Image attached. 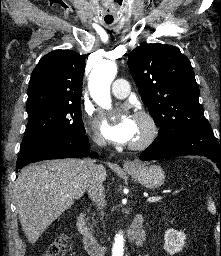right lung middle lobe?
Returning a JSON list of instances; mask_svg holds the SVG:
<instances>
[{
	"label": "right lung middle lobe",
	"mask_w": 221,
	"mask_h": 256,
	"mask_svg": "<svg viewBox=\"0 0 221 256\" xmlns=\"http://www.w3.org/2000/svg\"><path fill=\"white\" fill-rule=\"evenodd\" d=\"M28 124L20 149L33 142L63 132L85 133L81 103L43 104L27 109Z\"/></svg>",
	"instance_id": "dd1d6c3e"
}]
</instances>
